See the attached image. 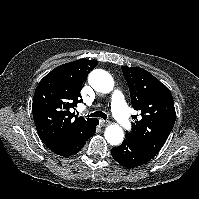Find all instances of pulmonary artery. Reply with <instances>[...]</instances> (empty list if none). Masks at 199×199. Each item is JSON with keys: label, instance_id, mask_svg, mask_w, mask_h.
<instances>
[{"label": "pulmonary artery", "instance_id": "obj_1", "mask_svg": "<svg viewBox=\"0 0 199 199\" xmlns=\"http://www.w3.org/2000/svg\"><path fill=\"white\" fill-rule=\"evenodd\" d=\"M112 112L119 124L128 129L130 127L129 112L122 93L114 90L111 96Z\"/></svg>", "mask_w": 199, "mask_h": 199}]
</instances>
